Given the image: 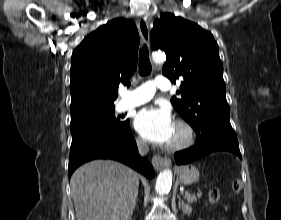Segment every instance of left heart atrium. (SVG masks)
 <instances>
[{
    "mask_svg": "<svg viewBox=\"0 0 281 220\" xmlns=\"http://www.w3.org/2000/svg\"><path fill=\"white\" fill-rule=\"evenodd\" d=\"M174 122L170 112L165 108H144L137 112L134 126L147 141L166 144L172 134Z\"/></svg>",
    "mask_w": 281,
    "mask_h": 220,
    "instance_id": "39dd6f15",
    "label": "left heart atrium"
}]
</instances>
